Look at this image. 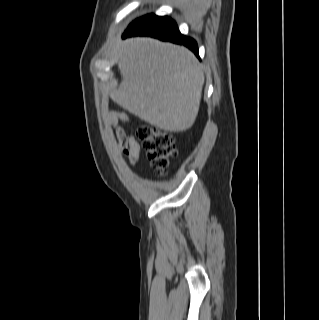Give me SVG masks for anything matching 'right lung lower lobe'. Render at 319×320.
Here are the masks:
<instances>
[{"instance_id":"right-lung-lower-lobe-1","label":"right lung lower lobe","mask_w":319,"mask_h":320,"mask_svg":"<svg viewBox=\"0 0 319 320\" xmlns=\"http://www.w3.org/2000/svg\"><path fill=\"white\" fill-rule=\"evenodd\" d=\"M137 35L152 36L160 40L183 44L198 55L196 42L192 38L182 35L176 23L168 17L153 16L135 28H128L123 34V38Z\"/></svg>"}]
</instances>
